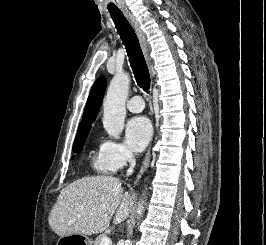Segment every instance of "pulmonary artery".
I'll return each instance as SVG.
<instances>
[{
    "label": "pulmonary artery",
    "instance_id": "pulmonary-artery-1",
    "mask_svg": "<svg viewBox=\"0 0 266 245\" xmlns=\"http://www.w3.org/2000/svg\"><path fill=\"white\" fill-rule=\"evenodd\" d=\"M126 107L133 113L141 112L144 109L142 96H131V99L126 102Z\"/></svg>",
    "mask_w": 266,
    "mask_h": 245
}]
</instances>
